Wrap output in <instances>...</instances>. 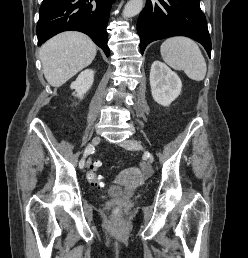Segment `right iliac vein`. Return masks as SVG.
I'll list each match as a JSON object with an SVG mask.
<instances>
[{
    "mask_svg": "<svg viewBox=\"0 0 248 258\" xmlns=\"http://www.w3.org/2000/svg\"><path fill=\"white\" fill-rule=\"evenodd\" d=\"M100 141H101L100 136H95V137L92 139V144H93L94 146H96V145H98V144L100 143ZM89 166H90V161H87L86 167L89 168Z\"/></svg>",
    "mask_w": 248,
    "mask_h": 258,
    "instance_id": "obj_1",
    "label": "right iliac vein"
}]
</instances>
